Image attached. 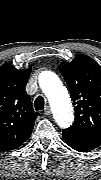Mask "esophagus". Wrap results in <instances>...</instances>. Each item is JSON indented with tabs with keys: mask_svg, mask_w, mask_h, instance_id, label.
<instances>
[{
	"mask_svg": "<svg viewBox=\"0 0 101 180\" xmlns=\"http://www.w3.org/2000/svg\"><path fill=\"white\" fill-rule=\"evenodd\" d=\"M51 114V109L49 107H46L44 109V115H50Z\"/></svg>",
	"mask_w": 101,
	"mask_h": 180,
	"instance_id": "34e87169",
	"label": "esophagus"
}]
</instances>
